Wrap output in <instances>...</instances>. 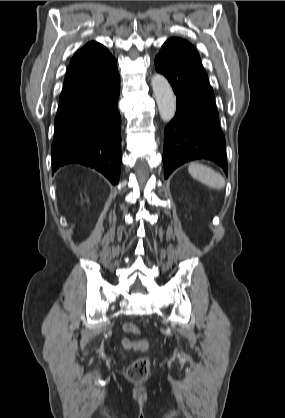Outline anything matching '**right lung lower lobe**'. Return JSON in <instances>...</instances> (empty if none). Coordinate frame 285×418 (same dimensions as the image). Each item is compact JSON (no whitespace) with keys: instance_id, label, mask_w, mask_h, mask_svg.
Segmentation results:
<instances>
[{"instance_id":"obj_1","label":"right lung lower lobe","mask_w":285,"mask_h":418,"mask_svg":"<svg viewBox=\"0 0 285 418\" xmlns=\"http://www.w3.org/2000/svg\"><path fill=\"white\" fill-rule=\"evenodd\" d=\"M116 70L97 85L59 102L52 142V172L78 163L95 168L115 185L120 177L121 117Z\"/></svg>"}]
</instances>
